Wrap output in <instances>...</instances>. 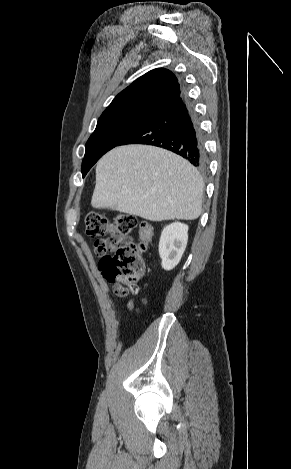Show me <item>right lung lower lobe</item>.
Here are the masks:
<instances>
[{
	"instance_id": "obj_1",
	"label": "right lung lower lobe",
	"mask_w": 291,
	"mask_h": 469,
	"mask_svg": "<svg viewBox=\"0 0 291 469\" xmlns=\"http://www.w3.org/2000/svg\"><path fill=\"white\" fill-rule=\"evenodd\" d=\"M135 143L168 149L195 167H206L203 134L184 92L153 113L118 145Z\"/></svg>"
}]
</instances>
